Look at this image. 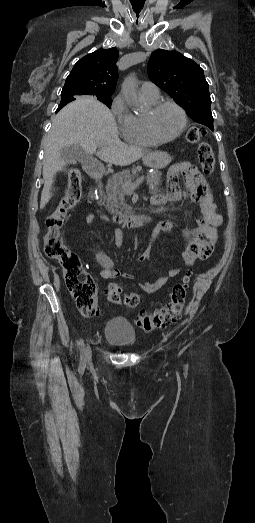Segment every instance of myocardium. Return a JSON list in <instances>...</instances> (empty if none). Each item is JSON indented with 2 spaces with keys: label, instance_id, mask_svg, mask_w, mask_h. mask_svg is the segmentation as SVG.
I'll use <instances>...</instances> for the list:
<instances>
[{
  "label": "myocardium",
  "instance_id": "f54148a6",
  "mask_svg": "<svg viewBox=\"0 0 255 523\" xmlns=\"http://www.w3.org/2000/svg\"><path fill=\"white\" fill-rule=\"evenodd\" d=\"M164 106L174 107L181 116V125H180L179 130L173 136L168 137V138H161V137L157 136L155 134L153 126H152V118H153L154 114L160 108H162ZM186 124H187V116H186L185 111L183 110V108L181 106H179L177 103L172 102V101H158L157 103H155L154 105L149 107L147 114L144 115V117H143L144 129H145L147 135L156 143H168V142L176 140L184 132V130L186 128Z\"/></svg>",
  "mask_w": 255,
  "mask_h": 523
}]
</instances>
